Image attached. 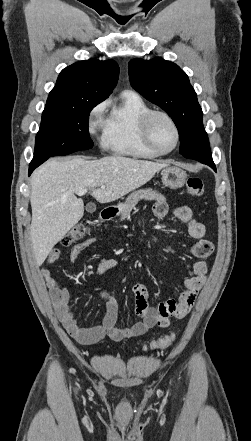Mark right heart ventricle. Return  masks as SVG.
<instances>
[{"label":"right heart ventricle","mask_w":251,"mask_h":441,"mask_svg":"<svg viewBox=\"0 0 251 441\" xmlns=\"http://www.w3.org/2000/svg\"><path fill=\"white\" fill-rule=\"evenodd\" d=\"M144 99L133 91H124L105 121L103 145L112 153L134 158L153 159L158 155L143 142L140 123L151 111Z\"/></svg>","instance_id":"right-heart-ventricle-1"}]
</instances>
